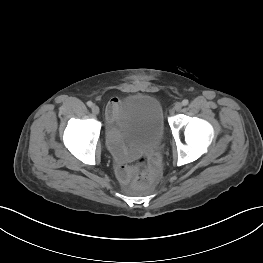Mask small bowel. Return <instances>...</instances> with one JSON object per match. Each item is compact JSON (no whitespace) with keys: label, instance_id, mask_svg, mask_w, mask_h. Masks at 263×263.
<instances>
[{"label":"small bowel","instance_id":"small-bowel-1","mask_svg":"<svg viewBox=\"0 0 263 263\" xmlns=\"http://www.w3.org/2000/svg\"><path fill=\"white\" fill-rule=\"evenodd\" d=\"M119 108L120 100L116 97L112 98L108 103L106 116L109 125V144L116 160L117 175L124 184H127L139 172L137 166H130L128 163L139 156L125 151L117 140L113 124L118 118Z\"/></svg>","mask_w":263,"mask_h":263}]
</instances>
